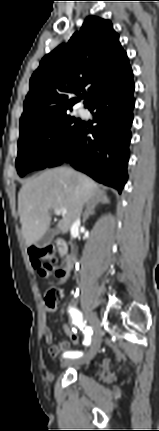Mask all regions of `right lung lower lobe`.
Segmentation results:
<instances>
[{"mask_svg":"<svg viewBox=\"0 0 159 431\" xmlns=\"http://www.w3.org/2000/svg\"><path fill=\"white\" fill-rule=\"evenodd\" d=\"M133 92L134 82L130 76L97 98L88 108L95 111L97 125L89 128L82 122L47 167L68 162L76 170L121 192L127 181L135 105ZM89 133L92 138L87 136Z\"/></svg>","mask_w":159,"mask_h":431,"instance_id":"1","label":"right lung lower lobe"}]
</instances>
